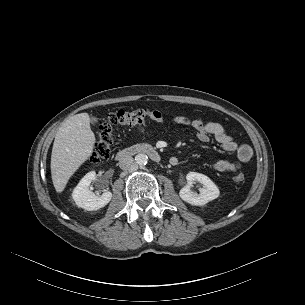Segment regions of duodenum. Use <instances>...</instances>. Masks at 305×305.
Instances as JSON below:
<instances>
[{
  "label": "duodenum",
  "mask_w": 305,
  "mask_h": 305,
  "mask_svg": "<svg viewBox=\"0 0 305 305\" xmlns=\"http://www.w3.org/2000/svg\"><path fill=\"white\" fill-rule=\"evenodd\" d=\"M137 154H146L156 162L162 161L158 150L148 144H136L119 149L115 154V158L117 160H121L127 156H133Z\"/></svg>",
  "instance_id": "obj_1"
}]
</instances>
